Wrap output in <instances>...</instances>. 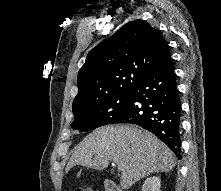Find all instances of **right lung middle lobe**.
I'll use <instances>...</instances> for the list:
<instances>
[{
	"mask_svg": "<svg viewBox=\"0 0 221 191\" xmlns=\"http://www.w3.org/2000/svg\"><path fill=\"white\" fill-rule=\"evenodd\" d=\"M132 91L99 101L74 113L73 129L87 132L103 125L116 123L128 110Z\"/></svg>",
	"mask_w": 221,
	"mask_h": 191,
	"instance_id": "1",
	"label": "right lung middle lobe"
}]
</instances>
